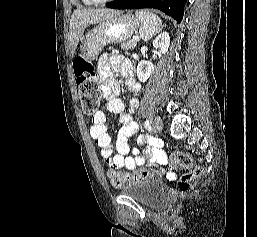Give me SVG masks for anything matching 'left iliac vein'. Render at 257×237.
I'll return each instance as SVG.
<instances>
[{"instance_id":"4c4485c4","label":"left iliac vein","mask_w":257,"mask_h":237,"mask_svg":"<svg viewBox=\"0 0 257 237\" xmlns=\"http://www.w3.org/2000/svg\"><path fill=\"white\" fill-rule=\"evenodd\" d=\"M152 127H153V130H154L155 133L160 132L162 130V128H163L162 120L160 118H156L153 121Z\"/></svg>"}]
</instances>
